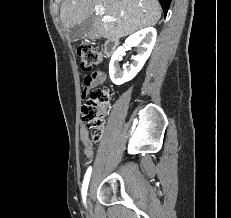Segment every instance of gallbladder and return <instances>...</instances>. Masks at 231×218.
I'll return each instance as SVG.
<instances>
[{
	"mask_svg": "<svg viewBox=\"0 0 231 218\" xmlns=\"http://www.w3.org/2000/svg\"><path fill=\"white\" fill-rule=\"evenodd\" d=\"M93 28V18L89 16L82 22L73 25L68 31V37L71 42L83 39Z\"/></svg>",
	"mask_w": 231,
	"mask_h": 218,
	"instance_id": "bac80fb5",
	"label": "gallbladder"
}]
</instances>
